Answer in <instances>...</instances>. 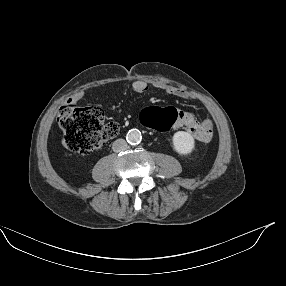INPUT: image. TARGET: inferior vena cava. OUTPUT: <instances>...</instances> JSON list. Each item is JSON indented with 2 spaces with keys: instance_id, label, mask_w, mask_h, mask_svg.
<instances>
[{
  "instance_id": "obj_1",
  "label": "inferior vena cava",
  "mask_w": 286,
  "mask_h": 286,
  "mask_svg": "<svg viewBox=\"0 0 286 286\" xmlns=\"http://www.w3.org/2000/svg\"><path fill=\"white\" fill-rule=\"evenodd\" d=\"M127 142L124 139H117L113 142L112 149L114 152H120L127 149Z\"/></svg>"
}]
</instances>
